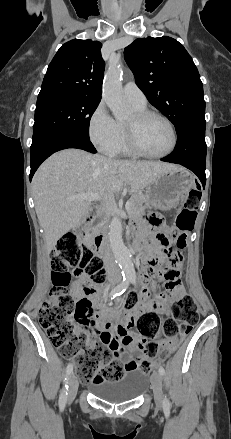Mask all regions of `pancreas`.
<instances>
[{
	"label": "pancreas",
	"instance_id": "1",
	"mask_svg": "<svg viewBox=\"0 0 231 439\" xmlns=\"http://www.w3.org/2000/svg\"><path fill=\"white\" fill-rule=\"evenodd\" d=\"M145 202H147L145 195L135 192L130 198V208L128 210L129 216L134 217L140 213Z\"/></svg>",
	"mask_w": 231,
	"mask_h": 439
}]
</instances>
